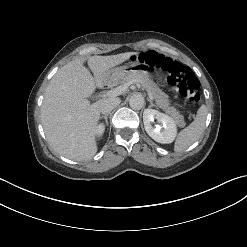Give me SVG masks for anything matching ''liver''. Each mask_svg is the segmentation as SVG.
<instances>
[{
	"label": "liver",
	"instance_id": "obj_1",
	"mask_svg": "<svg viewBox=\"0 0 247 247\" xmlns=\"http://www.w3.org/2000/svg\"><path fill=\"white\" fill-rule=\"evenodd\" d=\"M137 53L91 56L75 59L60 68L46 88L41 107V122L46 138L58 154L75 161L91 159L97 152L96 134L100 118L99 103L89 97L97 87L108 85L111 68Z\"/></svg>",
	"mask_w": 247,
	"mask_h": 247
}]
</instances>
